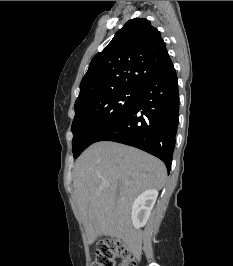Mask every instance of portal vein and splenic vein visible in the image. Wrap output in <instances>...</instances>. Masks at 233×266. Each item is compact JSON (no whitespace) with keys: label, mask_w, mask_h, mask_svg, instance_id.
I'll use <instances>...</instances> for the list:
<instances>
[{"label":"portal vein and splenic vein","mask_w":233,"mask_h":266,"mask_svg":"<svg viewBox=\"0 0 233 266\" xmlns=\"http://www.w3.org/2000/svg\"><path fill=\"white\" fill-rule=\"evenodd\" d=\"M103 183L105 184V183H107V181H103Z\"/></svg>","instance_id":"18ae733b"}]
</instances>
